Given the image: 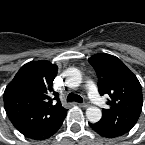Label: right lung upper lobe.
Masks as SVG:
<instances>
[{
	"mask_svg": "<svg viewBox=\"0 0 145 145\" xmlns=\"http://www.w3.org/2000/svg\"><path fill=\"white\" fill-rule=\"evenodd\" d=\"M58 67L49 61L23 65L4 92V107L14 127L28 137L54 125L67 110L52 82Z\"/></svg>",
	"mask_w": 145,
	"mask_h": 145,
	"instance_id": "cb5924a9",
	"label": "right lung upper lobe"
}]
</instances>
